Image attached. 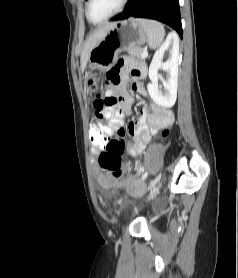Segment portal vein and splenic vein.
<instances>
[{
  "instance_id": "1",
  "label": "portal vein and splenic vein",
  "mask_w": 238,
  "mask_h": 278,
  "mask_svg": "<svg viewBox=\"0 0 238 278\" xmlns=\"http://www.w3.org/2000/svg\"><path fill=\"white\" fill-rule=\"evenodd\" d=\"M147 56H148L147 49H144V51L142 53V58H146Z\"/></svg>"
}]
</instances>
